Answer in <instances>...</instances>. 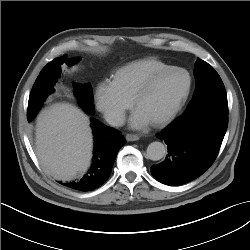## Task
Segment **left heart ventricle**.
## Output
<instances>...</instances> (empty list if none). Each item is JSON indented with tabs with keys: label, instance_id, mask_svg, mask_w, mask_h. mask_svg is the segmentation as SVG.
Wrapping results in <instances>:
<instances>
[{
	"label": "left heart ventricle",
	"instance_id": "1",
	"mask_svg": "<svg viewBox=\"0 0 250 250\" xmlns=\"http://www.w3.org/2000/svg\"><path fill=\"white\" fill-rule=\"evenodd\" d=\"M188 79L174 71L161 77L152 90L137 104V109L152 123L166 115L183 95Z\"/></svg>",
	"mask_w": 250,
	"mask_h": 250
}]
</instances>
